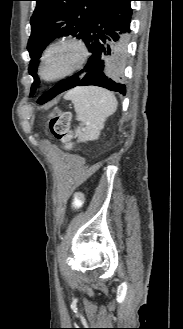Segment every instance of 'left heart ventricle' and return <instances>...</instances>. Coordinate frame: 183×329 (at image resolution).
<instances>
[{"label":"left heart ventricle","instance_id":"obj_1","mask_svg":"<svg viewBox=\"0 0 183 329\" xmlns=\"http://www.w3.org/2000/svg\"><path fill=\"white\" fill-rule=\"evenodd\" d=\"M80 59V50L71 43L61 44L53 48L46 57L43 73L46 77L58 76L72 67Z\"/></svg>","mask_w":183,"mask_h":329}]
</instances>
